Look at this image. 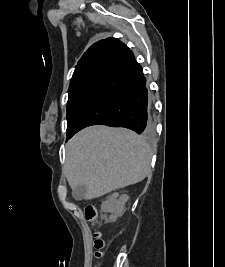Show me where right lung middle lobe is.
Returning a JSON list of instances; mask_svg holds the SVG:
<instances>
[{"label": "right lung middle lobe", "instance_id": "right-lung-middle-lobe-1", "mask_svg": "<svg viewBox=\"0 0 225 267\" xmlns=\"http://www.w3.org/2000/svg\"><path fill=\"white\" fill-rule=\"evenodd\" d=\"M101 76L102 75L87 77L70 84L67 102V140L73 131V124L82 103Z\"/></svg>", "mask_w": 225, "mask_h": 267}]
</instances>
